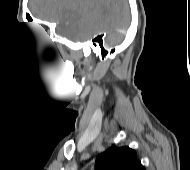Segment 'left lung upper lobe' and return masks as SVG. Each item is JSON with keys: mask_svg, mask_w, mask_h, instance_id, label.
<instances>
[{"mask_svg": "<svg viewBox=\"0 0 190 170\" xmlns=\"http://www.w3.org/2000/svg\"><path fill=\"white\" fill-rule=\"evenodd\" d=\"M95 170H145L137 158L135 150L123 146H113L99 155Z\"/></svg>", "mask_w": 190, "mask_h": 170, "instance_id": "obj_1", "label": "left lung upper lobe"}]
</instances>
